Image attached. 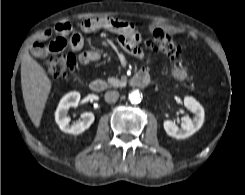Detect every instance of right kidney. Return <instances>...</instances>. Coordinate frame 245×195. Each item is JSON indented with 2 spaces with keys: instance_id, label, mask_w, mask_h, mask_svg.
Instances as JSON below:
<instances>
[{
  "instance_id": "right-kidney-1",
  "label": "right kidney",
  "mask_w": 245,
  "mask_h": 195,
  "mask_svg": "<svg viewBox=\"0 0 245 195\" xmlns=\"http://www.w3.org/2000/svg\"><path fill=\"white\" fill-rule=\"evenodd\" d=\"M79 101V92H69L59 102L55 112V121L59 128L65 133H71L74 135L81 134L94 122V114L92 112H85L81 114L80 120L70 124V119L67 117L68 110L70 107L78 106Z\"/></svg>"
}]
</instances>
